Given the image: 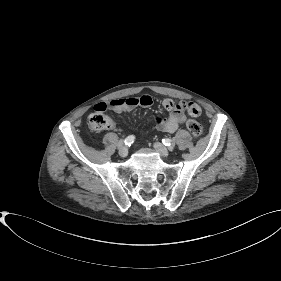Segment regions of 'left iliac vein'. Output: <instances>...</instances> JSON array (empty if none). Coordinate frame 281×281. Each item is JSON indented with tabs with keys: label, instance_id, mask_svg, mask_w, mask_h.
Segmentation results:
<instances>
[{
	"label": "left iliac vein",
	"instance_id": "left-iliac-vein-1",
	"mask_svg": "<svg viewBox=\"0 0 281 281\" xmlns=\"http://www.w3.org/2000/svg\"><path fill=\"white\" fill-rule=\"evenodd\" d=\"M154 148L162 157H165V158L170 155L169 150H172V147H170L168 149L163 144H161L159 142L154 143Z\"/></svg>",
	"mask_w": 281,
	"mask_h": 281
}]
</instances>
